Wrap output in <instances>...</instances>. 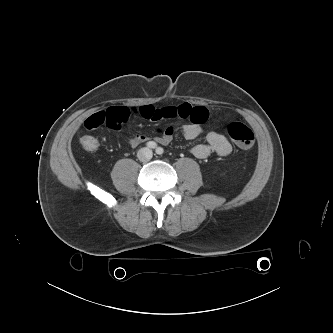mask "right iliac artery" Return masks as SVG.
Masks as SVG:
<instances>
[{
  "mask_svg": "<svg viewBox=\"0 0 333 333\" xmlns=\"http://www.w3.org/2000/svg\"><path fill=\"white\" fill-rule=\"evenodd\" d=\"M146 146L151 149H155L157 147V144L154 141H149L146 143Z\"/></svg>",
  "mask_w": 333,
  "mask_h": 333,
  "instance_id": "1",
  "label": "right iliac artery"
}]
</instances>
